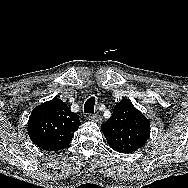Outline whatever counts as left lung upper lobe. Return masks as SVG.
<instances>
[{
    "mask_svg": "<svg viewBox=\"0 0 188 188\" xmlns=\"http://www.w3.org/2000/svg\"><path fill=\"white\" fill-rule=\"evenodd\" d=\"M109 146L120 153H132L141 148L149 138L148 119L129 100H121L113 115L101 125Z\"/></svg>",
    "mask_w": 188,
    "mask_h": 188,
    "instance_id": "obj_1",
    "label": "left lung upper lobe"
}]
</instances>
